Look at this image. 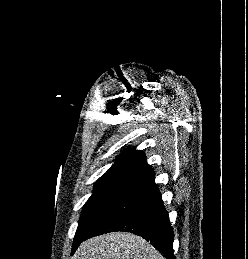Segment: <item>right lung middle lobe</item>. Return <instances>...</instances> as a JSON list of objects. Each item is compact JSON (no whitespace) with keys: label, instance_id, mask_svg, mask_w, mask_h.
<instances>
[{"label":"right lung middle lobe","instance_id":"1","mask_svg":"<svg viewBox=\"0 0 248 259\" xmlns=\"http://www.w3.org/2000/svg\"><path fill=\"white\" fill-rule=\"evenodd\" d=\"M130 188L131 185L124 183L95 185L93 194L83 206L73 245L86 236L114 203Z\"/></svg>","mask_w":248,"mask_h":259}]
</instances>
